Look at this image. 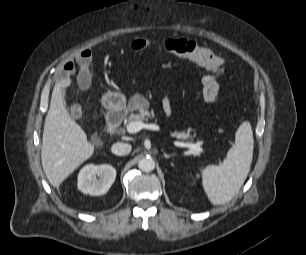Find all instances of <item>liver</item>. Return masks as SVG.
Listing matches in <instances>:
<instances>
[{
	"label": "liver",
	"instance_id": "obj_1",
	"mask_svg": "<svg viewBox=\"0 0 306 255\" xmlns=\"http://www.w3.org/2000/svg\"><path fill=\"white\" fill-rule=\"evenodd\" d=\"M70 83L71 79L66 78L55 84L42 138V167L56 188L94 152L85 132L66 110L62 89Z\"/></svg>",
	"mask_w": 306,
	"mask_h": 255
}]
</instances>
